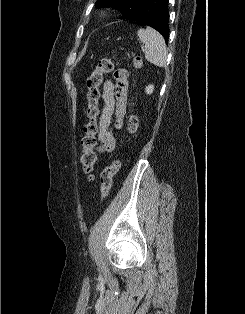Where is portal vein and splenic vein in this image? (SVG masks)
Listing matches in <instances>:
<instances>
[{
	"label": "portal vein and splenic vein",
	"mask_w": 245,
	"mask_h": 314,
	"mask_svg": "<svg viewBox=\"0 0 245 314\" xmlns=\"http://www.w3.org/2000/svg\"><path fill=\"white\" fill-rule=\"evenodd\" d=\"M145 48V46H142V49H144Z\"/></svg>",
	"instance_id": "18ae733b"
}]
</instances>
